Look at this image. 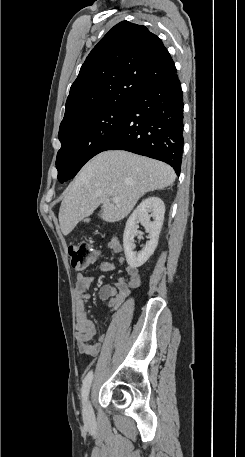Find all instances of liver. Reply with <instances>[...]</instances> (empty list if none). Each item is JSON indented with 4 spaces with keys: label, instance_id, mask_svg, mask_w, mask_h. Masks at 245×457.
<instances>
[{
    "label": "liver",
    "instance_id": "1",
    "mask_svg": "<svg viewBox=\"0 0 245 457\" xmlns=\"http://www.w3.org/2000/svg\"><path fill=\"white\" fill-rule=\"evenodd\" d=\"M176 174L166 162L127 150H104L86 162L67 186L59 208L61 233L69 235L79 220L102 204V218H125L149 190L173 184ZM119 196V204L111 202Z\"/></svg>",
    "mask_w": 245,
    "mask_h": 457
}]
</instances>
